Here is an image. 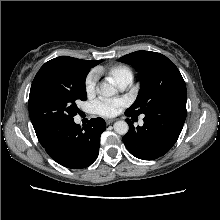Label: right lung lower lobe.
Instances as JSON below:
<instances>
[{"instance_id":"right-lung-lower-lobe-1","label":"right lung lower lobe","mask_w":220,"mask_h":220,"mask_svg":"<svg viewBox=\"0 0 220 220\" xmlns=\"http://www.w3.org/2000/svg\"><path fill=\"white\" fill-rule=\"evenodd\" d=\"M105 128L106 123L100 117L91 119L84 128L72 120L54 133L38 140L49 156L60 165L82 169L96 160L100 136Z\"/></svg>"}]
</instances>
